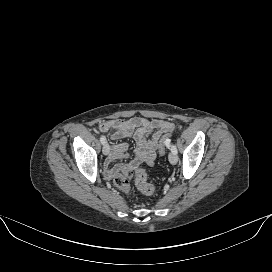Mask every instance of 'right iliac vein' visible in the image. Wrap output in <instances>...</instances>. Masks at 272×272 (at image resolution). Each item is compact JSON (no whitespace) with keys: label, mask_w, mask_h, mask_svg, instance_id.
Segmentation results:
<instances>
[{"label":"right iliac vein","mask_w":272,"mask_h":272,"mask_svg":"<svg viewBox=\"0 0 272 272\" xmlns=\"http://www.w3.org/2000/svg\"><path fill=\"white\" fill-rule=\"evenodd\" d=\"M102 151H103V154H104V155H108V154H109L110 147H109V144H108V143H105V144L103 145Z\"/></svg>","instance_id":"obj_1"}]
</instances>
